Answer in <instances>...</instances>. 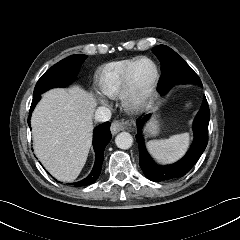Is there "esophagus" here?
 Masks as SVG:
<instances>
[{
    "label": "esophagus",
    "mask_w": 240,
    "mask_h": 240,
    "mask_svg": "<svg viewBox=\"0 0 240 240\" xmlns=\"http://www.w3.org/2000/svg\"><path fill=\"white\" fill-rule=\"evenodd\" d=\"M126 122L115 120L111 125V132L113 135L125 129Z\"/></svg>",
    "instance_id": "obj_1"
}]
</instances>
